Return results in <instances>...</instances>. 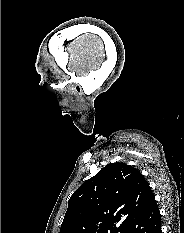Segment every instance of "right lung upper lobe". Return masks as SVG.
Returning <instances> with one entry per match:
<instances>
[{"label":"right lung upper lobe","mask_w":184,"mask_h":233,"mask_svg":"<svg viewBox=\"0 0 184 233\" xmlns=\"http://www.w3.org/2000/svg\"><path fill=\"white\" fill-rule=\"evenodd\" d=\"M154 204L139 170L111 163L73 193L60 233H125Z\"/></svg>","instance_id":"cb5924a9"}]
</instances>
